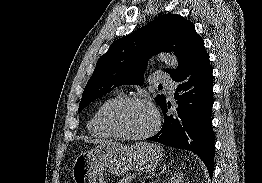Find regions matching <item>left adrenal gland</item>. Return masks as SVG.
Masks as SVG:
<instances>
[{
    "label": "left adrenal gland",
    "mask_w": 262,
    "mask_h": 183,
    "mask_svg": "<svg viewBox=\"0 0 262 183\" xmlns=\"http://www.w3.org/2000/svg\"><path fill=\"white\" fill-rule=\"evenodd\" d=\"M166 169H167V166L164 165V166L162 167V171L159 173V175L157 176V178H156L152 183H156L157 180H159L161 174H162Z\"/></svg>",
    "instance_id": "a2214340"
}]
</instances>
